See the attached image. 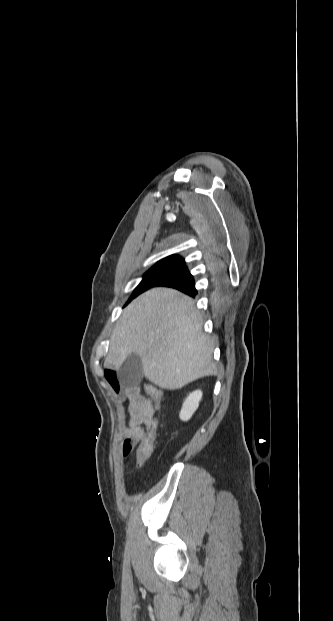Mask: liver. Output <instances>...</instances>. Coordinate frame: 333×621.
<instances>
[{"label": "liver", "mask_w": 333, "mask_h": 621, "mask_svg": "<svg viewBox=\"0 0 333 621\" xmlns=\"http://www.w3.org/2000/svg\"><path fill=\"white\" fill-rule=\"evenodd\" d=\"M189 296L171 288H153L123 311L110 337L105 366L119 369L132 353L143 374L163 389L176 390L213 375L214 344Z\"/></svg>", "instance_id": "liver-1"}]
</instances>
